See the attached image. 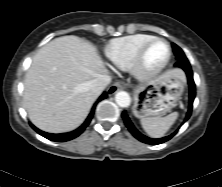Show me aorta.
I'll return each instance as SVG.
<instances>
[{"instance_id": "obj_1", "label": "aorta", "mask_w": 222, "mask_h": 187, "mask_svg": "<svg viewBox=\"0 0 222 187\" xmlns=\"http://www.w3.org/2000/svg\"><path fill=\"white\" fill-rule=\"evenodd\" d=\"M115 101L120 107H128L131 103V98L127 92L119 91L115 95Z\"/></svg>"}]
</instances>
